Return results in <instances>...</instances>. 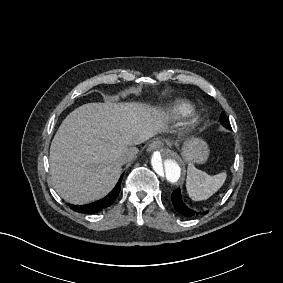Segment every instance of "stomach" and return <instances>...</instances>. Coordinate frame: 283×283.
Masks as SVG:
<instances>
[{"label":"stomach","mask_w":283,"mask_h":283,"mask_svg":"<svg viewBox=\"0 0 283 283\" xmlns=\"http://www.w3.org/2000/svg\"><path fill=\"white\" fill-rule=\"evenodd\" d=\"M208 144L201 138H188L181 148L182 158L188 163L203 164L209 157Z\"/></svg>","instance_id":"stomach-1"}]
</instances>
